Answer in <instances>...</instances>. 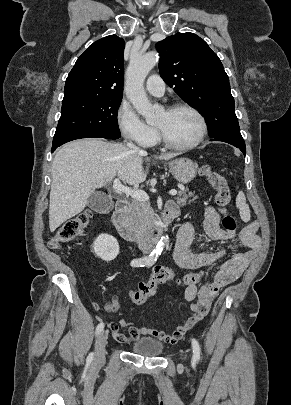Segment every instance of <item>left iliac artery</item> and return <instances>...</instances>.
<instances>
[{
    "mask_svg": "<svg viewBox=\"0 0 291 405\" xmlns=\"http://www.w3.org/2000/svg\"><path fill=\"white\" fill-rule=\"evenodd\" d=\"M152 263H149L147 266L150 267ZM192 348H193V360L199 361L200 360V346L196 339H192Z\"/></svg>",
    "mask_w": 291,
    "mask_h": 405,
    "instance_id": "1",
    "label": "left iliac artery"
}]
</instances>
